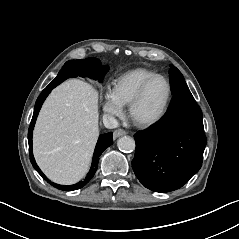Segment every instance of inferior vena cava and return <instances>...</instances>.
Segmentation results:
<instances>
[{"mask_svg":"<svg viewBox=\"0 0 239 239\" xmlns=\"http://www.w3.org/2000/svg\"><path fill=\"white\" fill-rule=\"evenodd\" d=\"M103 124L108 129H113L118 127V121L112 115L105 114L103 116Z\"/></svg>","mask_w":239,"mask_h":239,"instance_id":"602c4592","label":"inferior vena cava"}]
</instances>
